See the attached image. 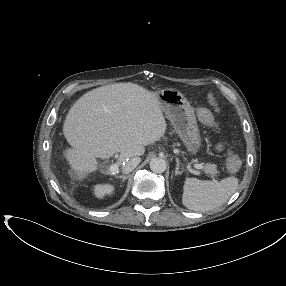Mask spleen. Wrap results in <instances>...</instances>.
Instances as JSON below:
<instances>
[{
    "mask_svg": "<svg viewBox=\"0 0 286 286\" xmlns=\"http://www.w3.org/2000/svg\"><path fill=\"white\" fill-rule=\"evenodd\" d=\"M238 187V179L227 177L219 182L186 178L182 203L190 210L205 212L225 204Z\"/></svg>",
    "mask_w": 286,
    "mask_h": 286,
    "instance_id": "spleen-1",
    "label": "spleen"
}]
</instances>
